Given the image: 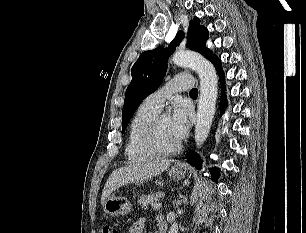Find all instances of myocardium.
<instances>
[{"mask_svg":"<svg viewBox=\"0 0 306 233\" xmlns=\"http://www.w3.org/2000/svg\"><path fill=\"white\" fill-rule=\"evenodd\" d=\"M162 116L156 115L154 118L150 120V122L147 124L143 137H142V143L143 146L147 151H149L154 156H169L177 153L181 145L178 143L173 148L170 149H164L159 145L158 139H157V129L159 120Z\"/></svg>","mask_w":306,"mask_h":233,"instance_id":"1","label":"myocardium"}]
</instances>
